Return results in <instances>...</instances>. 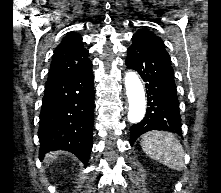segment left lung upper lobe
Listing matches in <instances>:
<instances>
[{"label":"left lung upper lobe","instance_id":"left-lung-upper-lobe-1","mask_svg":"<svg viewBox=\"0 0 221 193\" xmlns=\"http://www.w3.org/2000/svg\"><path fill=\"white\" fill-rule=\"evenodd\" d=\"M133 42L142 44L163 56L170 57L165 49L162 39L148 29L137 31L133 35Z\"/></svg>","mask_w":221,"mask_h":193}]
</instances>
